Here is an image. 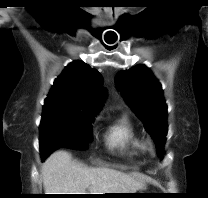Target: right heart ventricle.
<instances>
[{"label":"right heart ventricle","instance_id":"right-heart-ventricle-1","mask_svg":"<svg viewBox=\"0 0 208 198\" xmlns=\"http://www.w3.org/2000/svg\"><path fill=\"white\" fill-rule=\"evenodd\" d=\"M104 137L107 147L123 156L132 157L141 150V139L126 116L110 124Z\"/></svg>","mask_w":208,"mask_h":198}]
</instances>
